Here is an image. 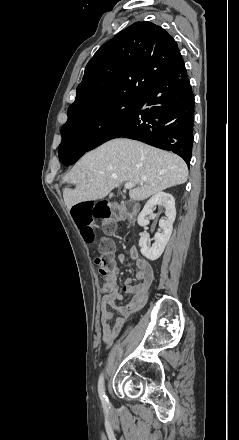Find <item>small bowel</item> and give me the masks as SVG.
<instances>
[{
  "label": "small bowel",
  "instance_id": "small-bowel-1",
  "mask_svg": "<svg viewBox=\"0 0 239 440\" xmlns=\"http://www.w3.org/2000/svg\"><path fill=\"white\" fill-rule=\"evenodd\" d=\"M113 232V231H111ZM131 264L135 266L134 277H127L124 280L123 290L127 294H133L134 299L129 304L131 312H136L146 302L152 280L153 272L150 264L140 257L135 247L130 250ZM120 264L125 265V256L120 254L118 256ZM134 280H139L140 283L133 285ZM103 297L101 302V329L102 339L106 346H110L119 332L121 331L127 315V308L122 305H118L117 302L123 300V296L118 290L116 284V277L111 281H106L103 286ZM114 308L120 315L115 318L114 323L110 321L114 318V314L108 310V307Z\"/></svg>",
  "mask_w": 239,
  "mask_h": 440
}]
</instances>
